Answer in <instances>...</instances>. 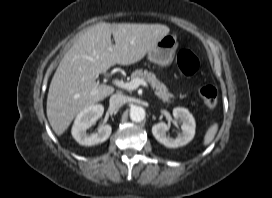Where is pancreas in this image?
<instances>
[{"label": "pancreas", "instance_id": "1", "mask_svg": "<svg viewBox=\"0 0 272 198\" xmlns=\"http://www.w3.org/2000/svg\"><path fill=\"white\" fill-rule=\"evenodd\" d=\"M142 79L149 83L153 89H155V94L163 102L170 103L171 99L174 98L173 94L168 92L167 87L160 82L154 73L148 72L147 70L138 69L131 74V79Z\"/></svg>", "mask_w": 272, "mask_h": 198}]
</instances>
